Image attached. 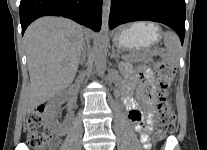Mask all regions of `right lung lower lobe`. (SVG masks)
Returning a JSON list of instances; mask_svg holds the SVG:
<instances>
[{
    "label": "right lung lower lobe",
    "instance_id": "obj_1",
    "mask_svg": "<svg viewBox=\"0 0 207 150\" xmlns=\"http://www.w3.org/2000/svg\"><path fill=\"white\" fill-rule=\"evenodd\" d=\"M102 0H21L20 22L22 34L27 26L42 16H63L99 31Z\"/></svg>",
    "mask_w": 207,
    "mask_h": 150
}]
</instances>
